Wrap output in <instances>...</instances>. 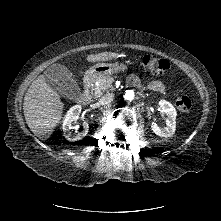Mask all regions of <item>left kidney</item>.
Here are the masks:
<instances>
[{
    "label": "left kidney",
    "instance_id": "1",
    "mask_svg": "<svg viewBox=\"0 0 221 221\" xmlns=\"http://www.w3.org/2000/svg\"><path fill=\"white\" fill-rule=\"evenodd\" d=\"M159 105L162 108V112L167 115L166 127L160 128L152 121L151 128L153 132L160 137H171L175 133L177 112L168 101L161 100Z\"/></svg>",
    "mask_w": 221,
    "mask_h": 221
}]
</instances>
